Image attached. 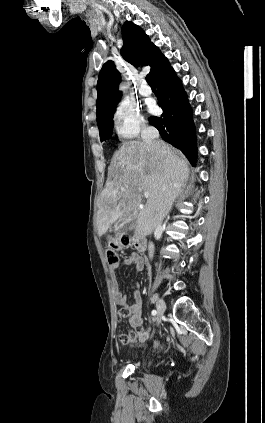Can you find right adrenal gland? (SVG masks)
I'll use <instances>...</instances> for the list:
<instances>
[{
	"instance_id": "2a0ac1e0",
	"label": "right adrenal gland",
	"mask_w": 265,
	"mask_h": 423,
	"mask_svg": "<svg viewBox=\"0 0 265 423\" xmlns=\"http://www.w3.org/2000/svg\"><path fill=\"white\" fill-rule=\"evenodd\" d=\"M180 193H181V197H182V195H183V190L182 189H181Z\"/></svg>"
}]
</instances>
